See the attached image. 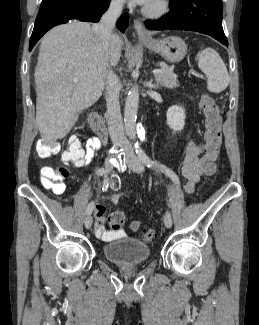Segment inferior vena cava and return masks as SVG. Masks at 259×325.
I'll list each match as a JSON object with an SVG mask.
<instances>
[{
  "label": "inferior vena cava",
  "instance_id": "602c4592",
  "mask_svg": "<svg viewBox=\"0 0 259 325\" xmlns=\"http://www.w3.org/2000/svg\"><path fill=\"white\" fill-rule=\"evenodd\" d=\"M123 4L124 0H112L109 9L103 14L100 21L93 26V29L99 35L102 42V62L107 70L105 99L109 134L115 146L129 147V142L124 134L116 76L110 69L106 54L112 31L116 20L122 12Z\"/></svg>",
  "mask_w": 259,
  "mask_h": 325
}]
</instances>
